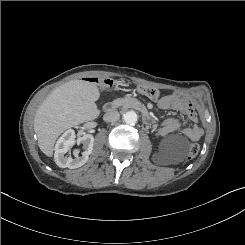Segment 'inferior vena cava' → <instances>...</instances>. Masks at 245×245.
<instances>
[{
  "label": "inferior vena cava",
  "mask_w": 245,
  "mask_h": 245,
  "mask_svg": "<svg viewBox=\"0 0 245 245\" xmlns=\"http://www.w3.org/2000/svg\"><path fill=\"white\" fill-rule=\"evenodd\" d=\"M120 118V114L118 111L116 110H110L107 113L104 114V121L106 122H115L117 120H119Z\"/></svg>",
  "instance_id": "obj_1"
}]
</instances>
